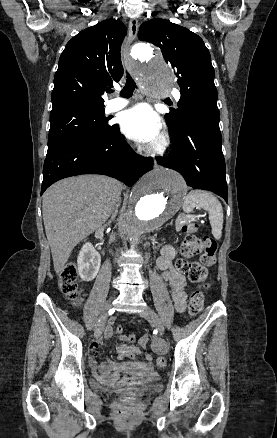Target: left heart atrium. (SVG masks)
Listing matches in <instances>:
<instances>
[{
  "label": "left heart atrium",
  "instance_id": "obj_1",
  "mask_svg": "<svg viewBox=\"0 0 277 438\" xmlns=\"http://www.w3.org/2000/svg\"><path fill=\"white\" fill-rule=\"evenodd\" d=\"M120 123L127 137L147 148L154 147L161 138V119L147 104H140L124 112Z\"/></svg>",
  "mask_w": 277,
  "mask_h": 438
}]
</instances>
